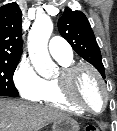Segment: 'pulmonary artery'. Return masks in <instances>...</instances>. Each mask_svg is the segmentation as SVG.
I'll list each match as a JSON object with an SVG mask.
<instances>
[{"label": "pulmonary artery", "mask_w": 117, "mask_h": 131, "mask_svg": "<svg viewBox=\"0 0 117 131\" xmlns=\"http://www.w3.org/2000/svg\"><path fill=\"white\" fill-rule=\"evenodd\" d=\"M49 52L56 60H65L72 58V49L66 40L59 36L51 38L49 45Z\"/></svg>", "instance_id": "e3ab8cb5"}]
</instances>
